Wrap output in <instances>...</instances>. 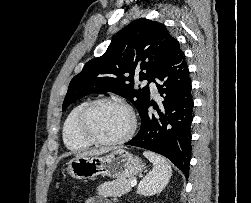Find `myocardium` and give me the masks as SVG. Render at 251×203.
Returning a JSON list of instances; mask_svg holds the SVG:
<instances>
[{"mask_svg":"<svg viewBox=\"0 0 251 203\" xmlns=\"http://www.w3.org/2000/svg\"><path fill=\"white\" fill-rule=\"evenodd\" d=\"M104 103H114L117 105H120L121 107H123L129 117H130V126L129 129L127 130V132L117 138V139H113V140H103V139H99L96 136H94L93 134H91L88 130L87 127V123H88V118L89 115L91 113V111L98 105L100 104H104ZM137 128V119H136V115L133 111V109L131 108V106L126 103L124 100L118 98V97H101L95 100H92L88 103H86V105L81 109V111L78 114L77 117V121H76V131L77 134L86 142H88L89 144L92 145H98V146H116V145H120L123 144L125 142H127L128 140H130L132 138V136L134 135L135 131Z\"/></svg>","mask_w":251,"mask_h":203,"instance_id":"myocardium-1","label":"myocardium"}]
</instances>
